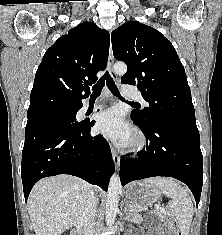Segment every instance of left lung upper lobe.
Here are the masks:
<instances>
[{
    "mask_svg": "<svg viewBox=\"0 0 222 235\" xmlns=\"http://www.w3.org/2000/svg\"><path fill=\"white\" fill-rule=\"evenodd\" d=\"M116 60L128 65L124 84L136 85L149 103L131 116L140 125L159 121L196 126L194 106L184 67L173 45L156 29L128 21L111 34Z\"/></svg>",
    "mask_w": 222,
    "mask_h": 235,
    "instance_id": "left-lung-upper-lobe-1",
    "label": "left lung upper lobe"
}]
</instances>
